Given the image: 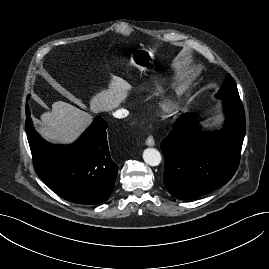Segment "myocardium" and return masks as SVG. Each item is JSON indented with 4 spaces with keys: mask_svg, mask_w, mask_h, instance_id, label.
Returning <instances> with one entry per match:
<instances>
[{
    "mask_svg": "<svg viewBox=\"0 0 269 269\" xmlns=\"http://www.w3.org/2000/svg\"><path fill=\"white\" fill-rule=\"evenodd\" d=\"M177 105L172 101H167L162 103L161 105V112L165 117L174 116L177 112Z\"/></svg>",
    "mask_w": 269,
    "mask_h": 269,
    "instance_id": "obj_1",
    "label": "myocardium"
}]
</instances>
